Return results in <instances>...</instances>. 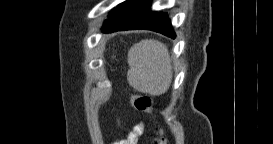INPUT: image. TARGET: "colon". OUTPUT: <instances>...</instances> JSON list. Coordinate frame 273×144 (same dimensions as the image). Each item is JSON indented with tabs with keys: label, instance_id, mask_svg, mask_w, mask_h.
I'll return each mask as SVG.
<instances>
[{
	"label": "colon",
	"instance_id": "colon-1",
	"mask_svg": "<svg viewBox=\"0 0 273 144\" xmlns=\"http://www.w3.org/2000/svg\"><path fill=\"white\" fill-rule=\"evenodd\" d=\"M133 105L139 111H151L153 107L152 100L147 96L136 95L133 98ZM165 143L163 138V131L159 128L156 131V137L154 139V144Z\"/></svg>",
	"mask_w": 273,
	"mask_h": 144
}]
</instances>
